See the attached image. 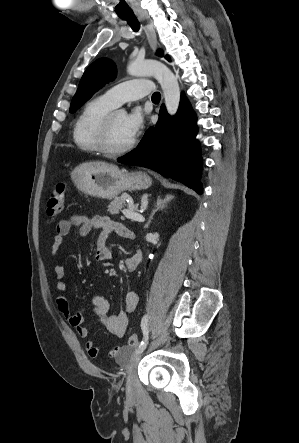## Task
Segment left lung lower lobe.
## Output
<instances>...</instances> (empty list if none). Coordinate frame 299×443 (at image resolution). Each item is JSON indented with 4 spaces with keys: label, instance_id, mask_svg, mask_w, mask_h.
<instances>
[{
    "label": "left lung lower lobe",
    "instance_id": "0a47b994",
    "mask_svg": "<svg viewBox=\"0 0 299 443\" xmlns=\"http://www.w3.org/2000/svg\"><path fill=\"white\" fill-rule=\"evenodd\" d=\"M196 134V116L182 94L176 115L170 117L162 105L156 126L146 131L135 149L117 160L150 168L202 194V160Z\"/></svg>",
    "mask_w": 299,
    "mask_h": 443
}]
</instances>
